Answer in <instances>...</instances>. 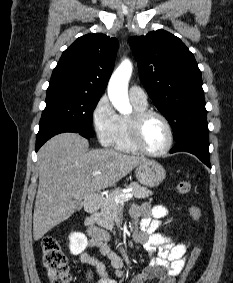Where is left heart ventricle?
<instances>
[{
    "label": "left heart ventricle",
    "instance_id": "1",
    "mask_svg": "<svg viewBox=\"0 0 233 283\" xmlns=\"http://www.w3.org/2000/svg\"><path fill=\"white\" fill-rule=\"evenodd\" d=\"M143 143L151 151H160L168 143L169 135L165 124L157 117L150 118L142 132Z\"/></svg>",
    "mask_w": 233,
    "mask_h": 283
}]
</instances>
